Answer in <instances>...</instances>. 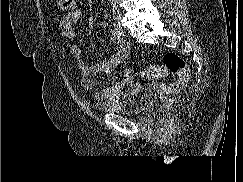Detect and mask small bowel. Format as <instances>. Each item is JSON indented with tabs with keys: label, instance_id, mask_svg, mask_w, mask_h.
Wrapping results in <instances>:
<instances>
[{
	"label": "small bowel",
	"instance_id": "1",
	"mask_svg": "<svg viewBox=\"0 0 243 182\" xmlns=\"http://www.w3.org/2000/svg\"><path fill=\"white\" fill-rule=\"evenodd\" d=\"M82 12L74 10L62 16L59 21V28L63 37L70 42V51L77 61V67L81 73V84L85 89H93L95 86L94 81L90 78L93 75L100 73H111L115 71L127 57L130 45L126 41L112 37V41L116 44L115 49L110 54V57L103 61L87 63L82 58L81 47L75 43L76 33L74 24L82 19ZM98 26L104 29L108 28V23L104 20L98 22ZM133 81V75L130 71H125L122 74V79L113 81L111 85L103 92L95 91L93 97L96 100H116L123 93H129L136 89Z\"/></svg>",
	"mask_w": 243,
	"mask_h": 182
}]
</instances>
